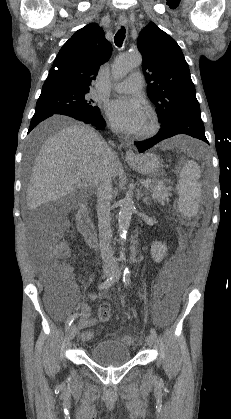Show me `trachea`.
<instances>
[{
	"mask_svg": "<svg viewBox=\"0 0 231 419\" xmlns=\"http://www.w3.org/2000/svg\"><path fill=\"white\" fill-rule=\"evenodd\" d=\"M125 28L122 26L114 37V42L118 47H121L125 39Z\"/></svg>",
	"mask_w": 231,
	"mask_h": 419,
	"instance_id": "1",
	"label": "trachea"
}]
</instances>
